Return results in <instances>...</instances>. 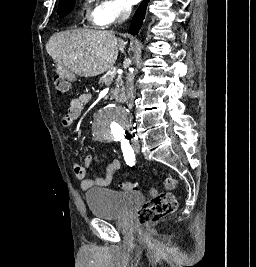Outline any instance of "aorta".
Returning <instances> with one entry per match:
<instances>
[{"label": "aorta", "mask_w": 256, "mask_h": 267, "mask_svg": "<svg viewBox=\"0 0 256 267\" xmlns=\"http://www.w3.org/2000/svg\"><path fill=\"white\" fill-rule=\"evenodd\" d=\"M101 117H94L95 127H130L124 108H103ZM115 133H124V128H93L92 138L99 143H110Z\"/></svg>", "instance_id": "obj_1"}]
</instances>
